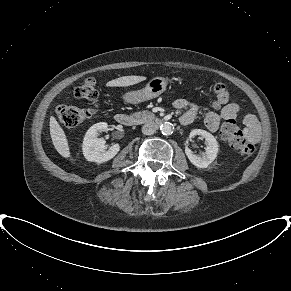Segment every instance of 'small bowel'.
Returning <instances> with one entry per match:
<instances>
[{"instance_id":"c3829d8e","label":"small bowel","mask_w":291,"mask_h":291,"mask_svg":"<svg viewBox=\"0 0 291 291\" xmlns=\"http://www.w3.org/2000/svg\"><path fill=\"white\" fill-rule=\"evenodd\" d=\"M173 106L178 110H185L180 117V122L183 125L191 124L197 116V107L189 103L186 99H177L174 101ZM239 107L235 103L226 104L220 111H209L205 115V126L211 132L218 131L222 121L233 118L235 119ZM244 126L247 131L248 140L252 143L258 142L260 138V126L256 118L252 115L245 116L243 120Z\"/></svg>"}]
</instances>
